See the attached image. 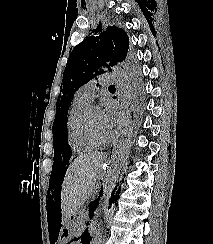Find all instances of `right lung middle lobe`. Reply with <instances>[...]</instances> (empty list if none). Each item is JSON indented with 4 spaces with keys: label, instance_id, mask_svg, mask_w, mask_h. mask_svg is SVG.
<instances>
[{
    "label": "right lung middle lobe",
    "instance_id": "dd1d6c3e",
    "mask_svg": "<svg viewBox=\"0 0 213 244\" xmlns=\"http://www.w3.org/2000/svg\"><path fill=\"white\" fill-rule=\"evenodd\" d=\"M53 145H54V163H53V168H52V173L53 172H55V171H57V169L60 167V165H62V159H61V156H59V157H56V155H55V151H56V148H57V144H56V141H55V139H53ZM68 148H69V146H68ZM66 151H65V146L61 149V153H65ZM64 157V156H63ZM64 160H65V158H64ZM65 164L63 163V166H64Z\"/></svg>",
    "mask_w": 213,
    "mask_h": 244
}]
</instances>
